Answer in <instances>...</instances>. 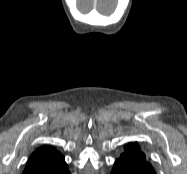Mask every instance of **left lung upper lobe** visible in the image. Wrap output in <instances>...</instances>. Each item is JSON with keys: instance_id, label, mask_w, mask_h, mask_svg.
<instances>
[{"instance_id": "1", "label": "left lung upper lobe", "mask_w": 187, "mask_h": 174, "mask_svg": "<svg viewBox=\"0 0 187 174\" xmlns=\"http://www.w3.org/2000/svg\"><path fill=\"white\" fill-rule=\"evenodd\" d=\"M116 162L121 163L125 168L135 169L139 173H141L143 169L154 170L151 164L146 160L145 154L141 152L137 143L134 145L129 144V146L125 148V153H123Z\"/></svg>"}]
</instances>
